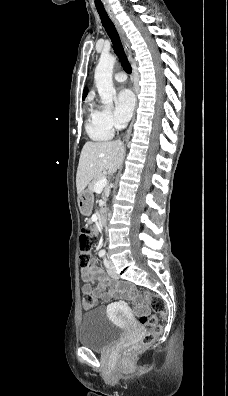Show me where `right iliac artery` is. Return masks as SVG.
Returning a JSON list of instances; mask_svg holds the SVG:
<instances>
[{
    "label": "right iliac artery",
    "mask_w": 228,
    "mask_h": 396,
    "mask_svg": "<svg viewBox=\"0 0 228 396\" xmlns=\"http://www.w3.org/2000/svg\"><path fill=\"white\" fill-rule=\"evenodd\" d=\"M104 255H105V252H104V251H100V252H99V256H100V257H103Z\"/></svg>",
    "instance_id": "right-iliac-artery-1"
}]
</instances>
